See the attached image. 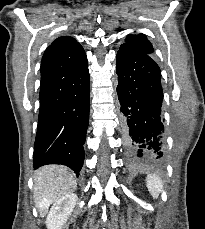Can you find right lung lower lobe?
<instances>
[{
  "mask_svg": "<svg viewBox=\"0 0 205 229\" xmlns=\"http://www.w3.org/2000/svg\"><path fill=\"white\" fill-rule=\"evenodd\" d=\"M40 71V110L33 167L63 164L79 176L89 123L87 60L77 68H68L56 57V49L51 46L43 55Z\"/></svg>",
  "mask_w": 205,
  "mask_h": 229,
  "instance_id": "obj_1",
  "label": "right lung lower lobe"
}]
</instances>
